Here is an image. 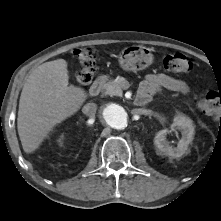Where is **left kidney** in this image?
Here are the masks:
<instances>
[{
    "label": "left kidney",
    "mask_w": 221,
    "mask_h": 221,
    "mask_svg": "<svg viewBox=\"0 0 221 221\" xmlns=\"http://www.w3.org/2000/svg\"><path fill=\"white\" fill-rule=\"evenodd\" d=\"M172 130H180L182 137L179 140L177 147L170 145V142L167 141L166 136L168 130H160L157 132L154 138V144L158 150L170 157H181L188 149V145L192 142L194 136V125L192 120L185 116L184 114L178 113L171 125Z\"/></svg>",
    "instance_id": "1"
}]
</instances>
